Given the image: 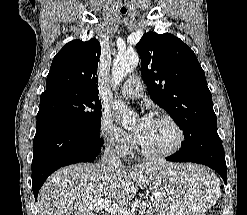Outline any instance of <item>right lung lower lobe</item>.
Masks as SVG:
<instances>
[{
	"instance_id": "right-lung-lower-lobe-1",
	"label": "right lung lower lobe",
	"mask_w": 247,
	"mask_h": 215,
	"mask_svg": "<svg viewBox=\"0 0 247 215\" xmlns=\"http://www.w3.org/2000/svg\"><path fill=\"white\" fill-rule=\"evenodd\" d=\"M33 144L32 189L35 200L52 172L66 165L93 161L103 149L99 133L55 117L37 118Z\"/></svg>"
}]
</instances>
